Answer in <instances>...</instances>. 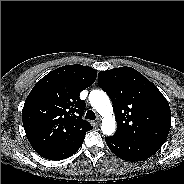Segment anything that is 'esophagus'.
<instances>
[{
  "label": "esophagus",
  "mask_w": 184,
  "mask_h": 184,
  "mask_svg": "<svg viewBox=\"0 0 184 184\" xmlns=\"http://www.w3.org/2000/svg\"><path fill=\"white\" fill-rule=\"evenodd\" d=\"M100 122H101V118H100V117H98V119H97V121H96V125H99V124H100Z\"/></svg>",
  "instance_id": "34e87169"
}]
</instances>
